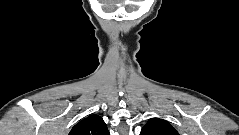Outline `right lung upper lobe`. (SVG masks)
Returning a JSON list of instances; mask_svg holds the SVG:
<instances>
[{"mask_svg":"<svg viewBox=\"0 0 239 135\" xmlns=\"http://www.w3.org/2000/svg\"><path fill=\"white\" fill-rule=\"evenodd\" d=\"M69 135H110V133L100 116L90 115L77 123Z\"/></svg>","mask_w":239,"mask_h":135,"instance_id":"right-lung-upper-lobe-1","label":"right lung upper lobe"}]
</instances>
